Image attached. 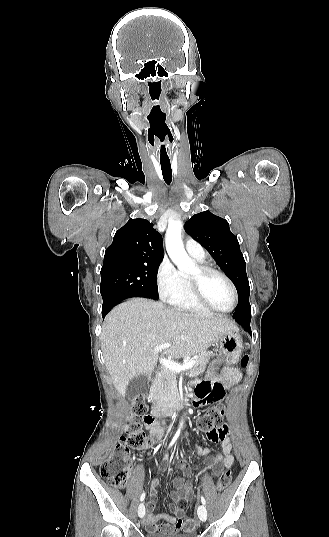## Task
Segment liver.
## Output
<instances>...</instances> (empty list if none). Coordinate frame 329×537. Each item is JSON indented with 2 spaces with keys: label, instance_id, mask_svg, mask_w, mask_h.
Returning a JSON list of instances; mask_svg holds the SVG:
<instances>
[{
  "label": "liver",
  "instance_id": "6515ba94",
  "mask_svg": "<svg viewBox=\"0 0 329 537\" xmlns=\"http://www.w3.org/2000/svg\"><path fill=\"white\" fill-rule=\"evenodd\" d=\"M236 328L227 318L183 313L161 302L133 298L106 316L101 348L114 387L125 395L134 377L153 372L160 352H154L157 345L172 342L165 351L171 358L193 356Z\"/></svg>",
  "mask_w": 329,
  "mask_h": 537
}]
</instances>
